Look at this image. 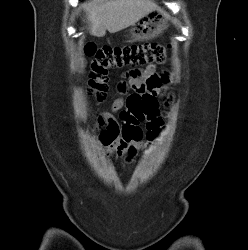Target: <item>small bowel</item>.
Wrapping results in <instances>:
<instances>
[{"label": "small bowel", "mask_w": 248, "mask_h": 250, "mask_svg": "<svg viewBox=\"0 0 248 250\" xmlns=\"http://www.w3.org/2000/svg\"><path fill=\"white\" fill-rule=\"evenodd\" d=\"M154 76H158L156 70L153 66H149L141 75L131 78L128 83H121L118 88L122 93L130 88L139 92L150 91L152 94L158 95L161 86H158L157 83H148V80ZM125 104H127V99L124 97L117 98L112 105V112L121 111ZM143 121L147 123V138L150 140L162 122L159 111H155ZM139 122L140 120L134 116L128 107L121 112V122H118L112 113H102L97 126L102 127L100 139L107 153L123 156L127 161L132 160L144 146L142 141L143 131L138 126Z\"/></svg>", "instance_id": "c3829d8e"}]
</instances>
